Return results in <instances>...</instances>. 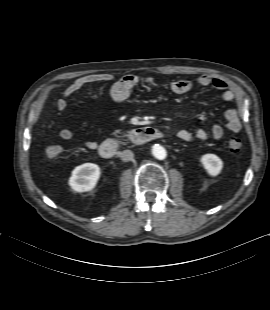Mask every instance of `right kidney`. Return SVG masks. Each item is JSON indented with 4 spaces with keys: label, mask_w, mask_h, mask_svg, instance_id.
<instances>
[{
    "label": "right kidney",
    "mask_w": 270,
    "mask_h": 310,
    "mask_svg": "<svg viewBox=\"0 0 270 310\" xmlns=\"http://www.w3.org/2000/svg\"><path fill=\"white\" fill-rule=\"evenodd\" d=\"M100 168L93 163L77 166L69 179L70 187L76 192L91 191L100 178Z\"/></svg>",
    "instance_id": "ca27d5eb"
}]
</instances>
